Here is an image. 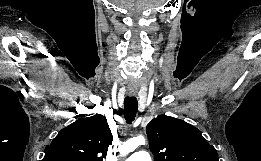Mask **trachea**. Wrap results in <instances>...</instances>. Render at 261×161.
Masks as SVG:
<instances>
[{"label": "trachea", "mask_w": 261, "mask_h": 161, "mask_svg": "<svg viewBox=\"0 0 261 161\" xmlns=\"http://www.w3.org/2000/svg\"><path fill=\"white\" fill-rule=\"evenodd\" d=\"M138 110V101L136 97H126L124 100V117L128 124H131Z\"/></svg>", "instance_id": "1"}]
</instances>
